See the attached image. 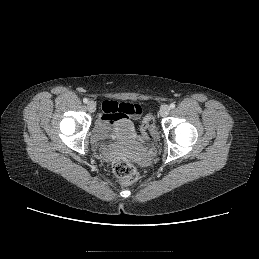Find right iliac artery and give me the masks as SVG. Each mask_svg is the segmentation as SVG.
<instances>
[{"label": "right iliac artery", "instance_id": "1", "mask_svg": "<svg viewBox=\"0 0 259 259\" xmlns=\"http://www.w3.org/2000/svg\"><path fill=\"white\" fill-rule=\"evenodd\" d=\"M83 102H84V103H88V99H87V98H84V99H83Z\"/></svg>", "mask_w": 259, "mask_h": 259}]
</instances>
